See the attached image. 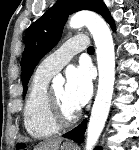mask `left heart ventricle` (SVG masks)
<instances>
[{"label": "left heart ventricle", "mask_w": 139, "mask_h": 150, "mask_svg": "<svg viewBox=\"0 0 139 150\" xmlns=\"http://www.w3.org/2000/svg\"><path fill=\"white\" fill-rule=\"evenodd\" d=\"M51 92L55 100L57 101L62 113L66 117H70L77 111L67 100L65 87L63 86L55 87L51 90Z\"/></svg>", "instance_id": "obj_1"}]
</instances>
